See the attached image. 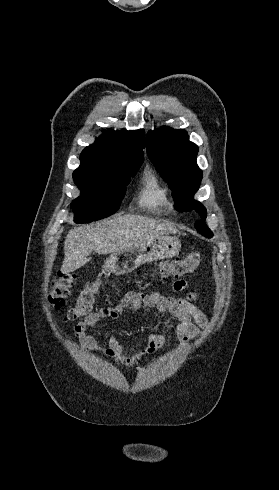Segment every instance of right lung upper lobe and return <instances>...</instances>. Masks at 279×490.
I'll return each mask as SVG.
<instances>
[{"label":"right lung upper lobe","instance_id":"1","mask_svg":"<svg viewBox=\"0 0 279 490\" xmlns=\"http://www.w3.org/2000/svg\"><path fill=\"white\" fill-rule=\"evenodd\" d=\"M145 147L144 130H107L81 155V164L73 174L104 177L123 168L140 167Z\"/></svg>","mask_w":279,"mask_h":490}]
</instances>
